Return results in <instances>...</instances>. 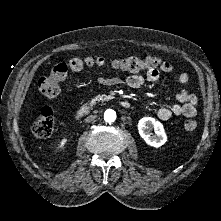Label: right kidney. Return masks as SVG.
<instances>
[{
    "instance_id": "1",
    "label": "right kidney",
    "mask_w": 221,
    "mask_h": 221,
    "mask_svg": "<svg viewBox=\"0 0 221 221\" xmlns=\"http://www.w3.org/2000/svg\"><path fill=\"white\" fill-rule=\"evenodd\" d=\"M66 142H67L66 138L62 139L60 144H59V148H63V146L66 144Z\"/></svg>"
}]
</instances>
